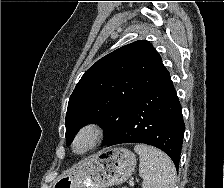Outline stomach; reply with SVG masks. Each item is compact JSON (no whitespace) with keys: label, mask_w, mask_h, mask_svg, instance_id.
Masks as SVG:
<instances>
[{"label":"stomach","mask_w":224,"mask_h":188,"mask_svg":"<svg viewBox=\"0 0 224 188\" xmlns=\"http://www.w3.org/2000/svg\"><path fill=\"white\" fill-rule=\"evenodd\" d=\"M135 166L136 156L130 150L103 149L59 176L53 188H108L125 182Z\"/></svg>","instance_id":"0dacf381"}]
</instances>
